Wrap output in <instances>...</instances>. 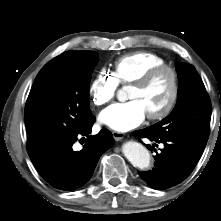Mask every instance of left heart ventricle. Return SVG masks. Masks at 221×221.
I'll return each mask as SVG.
<instances>
[{"label":"left heart ventricle","instance_id":"b2bd125f","mask_svg":"<svg viewBox=\"0 0 221 221\" xmlns=\"http://www.w3.org/2000/svg\"><path fill=\"white\" fill-rule=\"evenodd\" d=\"M171 90V77L168 73H163L145 88L131 86L128 98L140 101L148 115L164 108L170 98Z\"/></svg>","mask_w":221,"mask_h":221}]
</instances>
